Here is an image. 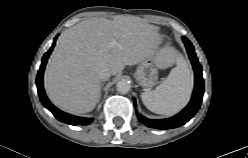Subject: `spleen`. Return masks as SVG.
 I'll list each match as a JSON object with an SVG mask.
<instances>
[{
	"mask_svg": "<svg viewBox=\"0 0 248 158\" xmlns=\"http://www.w3.org/2000/svg\"><path fill=\"white\" fill-rule=\"evenodd\" d=\"M176 67L153 91L141 94L144 105L152 112L161 115H174L189 102L193 75L182 57L176 58Z\"/></svg>",
	"mask_w": 248,
	"mask_h": 158,
	"instance_id": "spleen-1",
	"label": "spleen"
}]
</instances>
